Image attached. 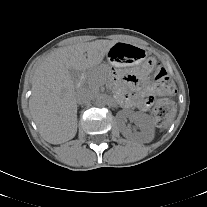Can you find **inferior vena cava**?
<instances>
[{
	"mask_svg": "<svg viewBox=\"0 0 207 207\" xmlns=\"http://www.w3.org/2000/svg\"><path fill=\"white\" fill-rule=\"evenodd\" d=\"M94 98V94L92 93L91 90L87 89V88H80L77 92H76V102L78 104H87L89 102H91Z\"/></svg>",
	"mask_w": 207,
	"mask_h": 207,
	"instance_id": "inferior-vena-cava-1",
	"label": "inferior vena cava"
}]
</instances>
